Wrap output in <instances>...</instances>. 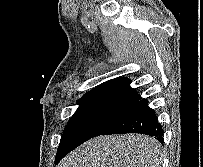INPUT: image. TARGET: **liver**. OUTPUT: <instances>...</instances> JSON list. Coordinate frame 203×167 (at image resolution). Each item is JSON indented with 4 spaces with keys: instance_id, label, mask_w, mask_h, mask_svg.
<instances>
[{
    "instance_id": "6515ba94",
    "label": "liver",
    "mask_w": 203,
    "mask_h": 167,
    "mask_svg": "<svg viewBox=\"0 0 203 167\" xmlns=\"http://www.w3.org/2000/svg\"><path fill=\"white\" fill-rule=\"evenodd\" d=\"M161 144L140 134L100 136L79 146L58 167H161Z\"/></svg>"
}]
</instances>
